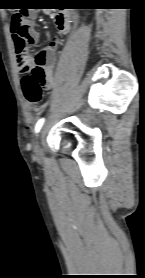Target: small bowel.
Returning a JSON list of instances; mask_svg holds the SVG:
<instances>
[{"label":"small bowel","mask_w":145,"mask_h":278,"mask_svg":"<svg viewBox=\"0 0 145 278\" xmlns=\"http://www.w3.org/2000/svg\"><path fill=\"white\" fill-rule=\"evenodd\" d=\"M37 9L35 7L30 8L29 10V19L32 25L31 29L28 32L27 42L30 45H36L40 40V34L38 30L33 26L34 20L37 18ZM56 26L58 30L64 34H69L73 30V24L68 15L60 13L56 16ZM13 41L14 37L12 35ZM15 46V43H14ZM57 50V40L53 39L49 45L40 50L37 54L43 55L46 60L45 72H46V81L44 84L45 89H50L54 85V76L53 71L55 68V56ZM16 51V46H15ZM16 57L18 62V67L20 72L27 73L30 72L35 67V61L28 57L26 54H19L16 51Z\"/></svg>","instance_id":"1"}]
</instances>
